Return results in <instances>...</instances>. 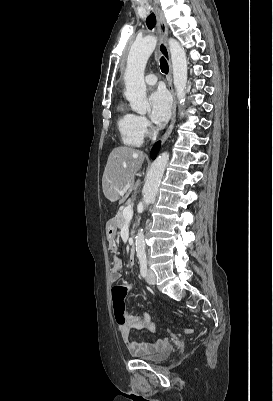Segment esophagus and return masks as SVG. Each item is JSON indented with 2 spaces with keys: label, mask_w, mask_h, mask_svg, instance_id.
<instances>
[{
  "label": "esophagus",
  "mask_w": 273,
  "mask_h": 401,
  "mask_svg": "<svg viewBox=\"0 0 273 401\" xmlns=\"http://www.w3.org/2000/svg\"><path fill=\"white\" fill-rule=\"evenodd\" d=\"M156 10V15H157V20H158V36H159V45L158 49L159 52L165 57V59L168 62L169 65V73L167 76L168 80V89L172 95V101H173V106H172V113H171V121L170 124L164 133V135L161 138V142L164 143L169 135L171 134L175 120H176V99H175V94L173 90V85H172V66H171V59H170V54H169V49L167 46V38H168V26L166 19L163 15V13L159 10L158 7L155 6Z\"/></svg>",
  "instance_id": "1"
}]
</instances>
